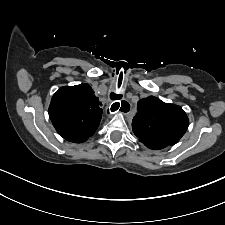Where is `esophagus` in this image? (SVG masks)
Wrapping results in <instances>:
<instances>
[{"label": "esophagus", "mask_w": 225, "mask_h": 225, "mask_svg": "<svg viewBox=\"0 0 225 225\" xmlns=\"http://www.w3.org/2000/svg\"><path fill=\"white\" fill-rule=\"evenodd\" d=\"M129 105H130V103L128 102V101H126ZM115 103L116 102H113V103H111L110 104V106H109V110H110V112H114V111H112V109H114V107H115ZM122 104V103H121ZM121 104H120V106H119V108L116 110V111H120L121 113H123V114H125V115H127L128 113H130V111H131V106H130V108H129V110H128V105H126V107L123 109V111L120 109L121 108Z\"/></svg>", "instance_id": "obj_1"}]
</instances>
